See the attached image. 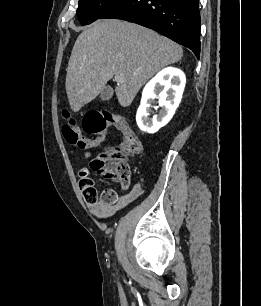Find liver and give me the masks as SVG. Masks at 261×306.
I'll return each instance as SVG.
<instances>
[{
    "instance_id": "6515ba94",
    "label": "liver",
    "mask_w": 261,
    "mask_h": 306,
    "mask_svg": "<svg viewBox=\"0 0 261 306\" xmlns=\"http://www.w3.org/2000/svg\"><path fill=\"white\" fill-rule=\"evenodd\" d=\"M182 56L180 45L151 29L117 19L97 21L72 49L65 83L70 107L78 112L115 75L123 79L115 89L118 101L128 107L156 72Z\"/></svg>"
}]
</instances>
